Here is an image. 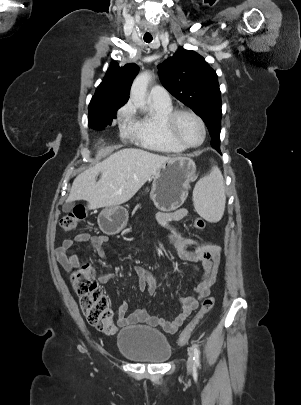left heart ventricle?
I'll list each match as a JSON object with an SVG mask.
<instances>
[{
	"label": "left heart ventricle",
	"instance_id": "1",
	"mask_svg": "<svg viewBox=\"0 0 301 405\" xmlns=\"http://www.w3.org/2000/svg\"><path fill=\"white\" fill-rule=\"evenodd\" d=\"M177 131L180 137L190 145L198 144L201 141V127L190 115H183L180 117L177 124Z\"/></svg>",
	"mask_w": 301,
	"mask_h": 405
}]
</instances>
